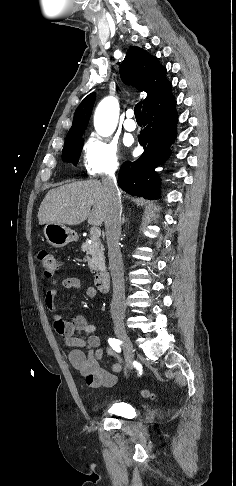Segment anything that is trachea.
<instances>
[{"label": "trachea", "instance_id": "trachea-1", "mask_svg": "<svg viewBox=\"0 0 236 486\" xmlns=\"http://www.w3.org/2000/svg\"><path fill=\"white\" fill-rule=\"evenodd\" d=\"M141 108H142V102L140 101L135 105L134 112H135V118L142 119V113H141Z\"/></svg>", "mask_w": 236, "mask_h": 486}]
</instances>
